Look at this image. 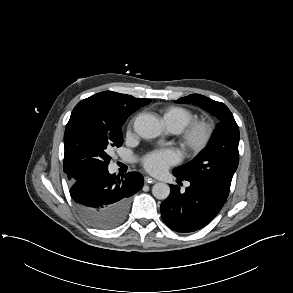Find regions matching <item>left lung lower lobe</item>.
<instances>
[{"label":"left lung lower lobe","instance_id":"left-lung-lower-lobe-1","mask_svg":"<svg viewBox=\"0 0 293 293\" xmlns=\"http://www.w3.org/2000/svg\"><path fill=\"white\" fill-rule=\"evenodd\" d=\"M174 176L178 184L185 180L190 185L184 193L178 186L170 185L171 193L161 204L163 221L176 232L188 233L203 228L221 210L229 191L208 181Z\"/></svg>","mask_w":293,"mask_h":293}]
</instances>
